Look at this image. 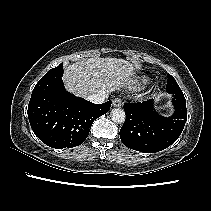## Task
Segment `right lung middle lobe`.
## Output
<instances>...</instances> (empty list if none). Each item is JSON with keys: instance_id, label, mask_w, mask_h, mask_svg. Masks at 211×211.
<instances>
[{"instance_id": "right-lung-middle-lobe-1", "label": "right lung middle lobe", "mask_w": 211, "mask_h": 211, "mask_svg": "<svg viewBox=\"0 0 211 211\" xmlns=\"http://www.w3.org/2000/svg\"><path fill=\"white\" fill-rule=\"evenodd\" d=\"M60 69H62V64H60L58 67L50 69L45 75H49V74L54 73L55 71H58Z\"/></svg>"}]
</instances>
